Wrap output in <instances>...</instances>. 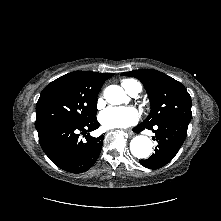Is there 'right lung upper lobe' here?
Wrapping results in <instances>:
<instances>
[{
    "instance_id": "obj_1",
    "label": "right lung upper lobe",
    "mask_w": 221,
    "mask_h": 221,
    "mask_svg": "<svg viewBox=\"0 0 221 221\" xmlns=\"http://www.w3.org/2000/svg\"><path fill=\"white\" fill-rule=\"evenodd\" d=\"M113 76V73L103 74L90 71H74L64 75L79 85L84 91L98 95L103 83Z\"/></svg>"
}]
</instances>
